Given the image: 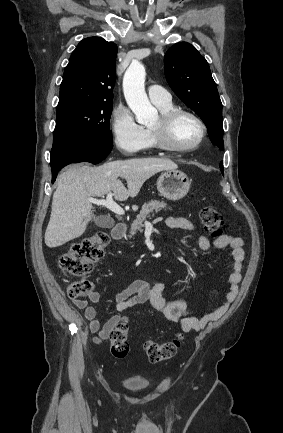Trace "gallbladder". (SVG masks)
Wrapping results in <instances>:
<instances>
[{
    "mask_svg": "<svg viewBox=\"0 0 283 433\" xmlns=\"http://www.w3.org/2000/svg\"><path fill=\"white\" fill-rule=\"evenodd\" d=\"M114 223V219H111V217H104V214H102V217H98V219H96L97 227H102V229H112V227H114Z\"/></svg>",
    "mask_w": 283,
    "mask_h": 433,
    "instance_id": "gallbladder-1",
    "label": "gallbladder"
}]
</instances>
